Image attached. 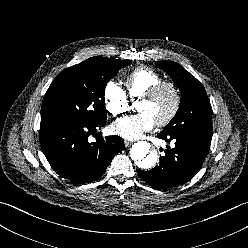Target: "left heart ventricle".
<instances>
[{
    "label": "left heart ventricle",
    "instance_id": "left-heart-ventricle-1",
    "mask_svg": "<svg viewBox=\"0 0 248 248\" xmlns=\"http://www.w3.org/2000/svg\"><path fill=\"white\" fill-rule=\"evenodd\" d=\"M173 102L174 97L171 90L165 88L151 100L141 99L138 103L137 109L139 112L148 113L156 123L170 112Z\"/></svg>",
    "mask_w": 248,
    "mask_h": 248
}]
</instances>
